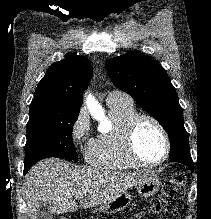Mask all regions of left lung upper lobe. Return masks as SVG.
Listing matches in <instances>:
<instances>
[{
	"instance_id": "left-lung-upper-lobe-1",
	"label": "left lung upper lobe",
	"mask_w": 211,
	"mask_h": 219,
	"mask_svg": "<svg viewBox=\"0 0 211 219\" xmlns=\"http://www.w3.org/2000/svg\"><path fill=\"white\" fill-rule=\"evenodd\" d=\"M112 82L130 94L166 130L170 155L190 152L183 112L165 69L145 54L129 52L107 60Z\"/></svg>"
}]
</instances>
